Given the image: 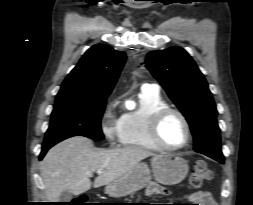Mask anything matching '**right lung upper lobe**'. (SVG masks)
<instances>
[{
	"mask_svg": "<svg viewBox=\"0 0 253 205\" xmlns=\"http://www.w3.org/2000/svg\"><path fill=\"white\" fill-rule=\"evenodd\" d=\"M125 60L124 52L116 51L108 45L92 46L62 83L55 102L107 99Z\"/></svg>",
	"mask_w": 253,
	"mask_h": 205,
	"instance_id": "obj_1",
	"label": "right lung upper lobe"
}]
</instances>
